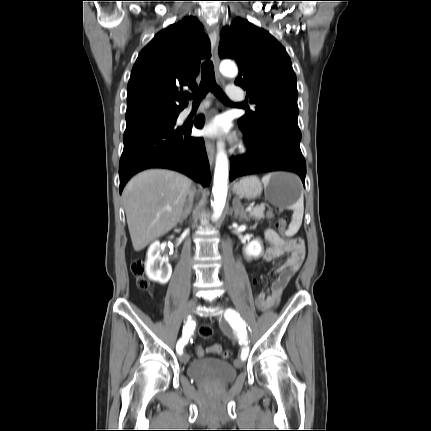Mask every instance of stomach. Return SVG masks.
I'll use <instances>...</instances> for the list:
<instances>
[{"label": "stomach", "instance_id": "1", "mask_svg": "<svg viewBox=\"0 0 431 431\" xmlns=\"http://www.w3.org/2000/svg\"><path fill=\"white\" fill-rule=\"evenodd\" d=\"M263 186L256 176H247L233 185V192L240 198L255 199L262 193ZM265 197L274 206L292 208L302 195L299 178L286 172L272 173L264 184Z\"/></svg>", "mask_w": 431, "mask_h": 431}]
</instances>
